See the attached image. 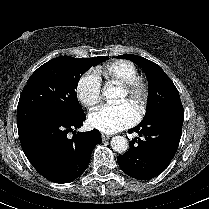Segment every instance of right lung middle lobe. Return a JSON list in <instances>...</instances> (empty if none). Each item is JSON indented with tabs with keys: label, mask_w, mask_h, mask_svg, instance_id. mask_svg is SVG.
Here are the masks:
<instances>
[{
	"label": "right lung middle lobe",
	"mask_w": 209,
	"mask_h": 209,
	"mask_svg": "<svg viewBox=\"0 0 209 209\" xmlns=\"http://www.w3.org/2000/svg\"><path fill=\"white\" fill-rule=\"evenodd\" d=\"M108 57L79 59L54 58L40 66L28 79L17 107V127L51 116L83 112L75 90L81 76Z\"/></svg>",
	"instance_id": "right-lung-middle-lobe-1"
}]
</instances>
